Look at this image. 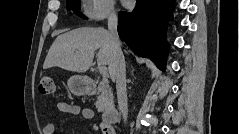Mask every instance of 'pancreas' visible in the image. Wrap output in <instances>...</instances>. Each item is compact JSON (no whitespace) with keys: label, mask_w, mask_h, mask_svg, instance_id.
I'll use <instances>...</instances> for the list:
<instances>
[{"label":"pancreas","mask_w":239,"mask_h":134,"mask_svg":"<svg viewBox=\"0 0 239 134\" xmlns=\"http://www.w3.org/2000/svg\"><path fill=\"white\" fill-rule=\"evenodd\" d=\"M99 95L95 106L98 112H103L109 105L113 104V94L107 83H101L98 86Z\"/></svg>","instance_id":"1"}]
</instances>
